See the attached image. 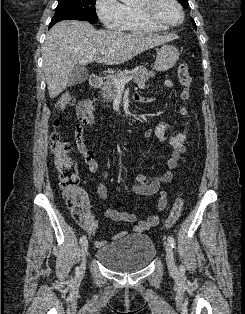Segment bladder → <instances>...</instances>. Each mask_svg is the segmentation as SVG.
Masks as SVG:
<instances>
[{
    "label": "bladder",
    "mask_w": 245,
    "mask_h": 314,
    "mask_svg": "<svg viewBox=\"0 0 245 314\" xmlns=\"http://www.w3.org/2000/svg\"><path fill=\"white\" fill-rule=\"evenodd\" d=\"M155 255L149 236L132 234L99 248L96 259L113 271L133 272L146 268Z\"/></svg>",
    "instance_id": "bladder-1"
}]
</instances>
